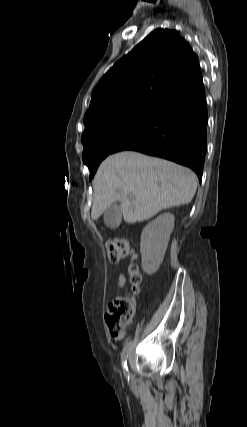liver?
I'll return each mask as SVG.
<instances>
[{
    "label": "liver",
    "mask_w": 247,
    "mask_h": 427,
    "mask_svg": "<svg viewBox=\"0 0 247 427\" xmlns=\"http://www.w3.org/2000/svg\"><path fill=\"white\" fill-rule=\"evenodd\" d=\"M93 188V220L119 200L125 222L132 224L150 219L161 210L190 203L197 189V176L171 161L124 151L100 164Z\"/></svg>",
    "instance_id": "1"
}]
</instances>
